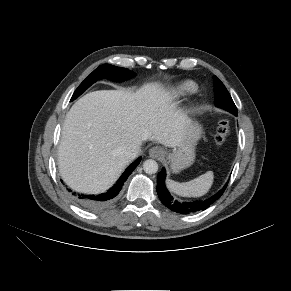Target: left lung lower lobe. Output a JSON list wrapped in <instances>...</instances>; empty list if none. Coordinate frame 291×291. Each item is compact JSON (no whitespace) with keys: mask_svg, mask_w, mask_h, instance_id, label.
<instances>
[{"mask_svg":"<svg viewBox=\"0 0 291 291\" xmlns=\"http://www.w3.org/2000/svg\"><path fill=\"white\" fill-rule=\"evenodd\" d=\"M237 115V114H234ZM165 177H166V171L163 168L162 171L159 172L157 177V194L161 200V202L168 207L170 210L180 213V214H193L200 211H203L207 209L211 204H213L216 200H218L223 192L225 191L228 182L225 184V186L217 192L215 195L202 199V200H196V201H180L177 199H174L169 191L167 190L165 186Z\"/></svg>","mask_w":291,"mask_h":291,"instance_id":"0a47b994","label":"left lung lower lobe"}]
</instances>
